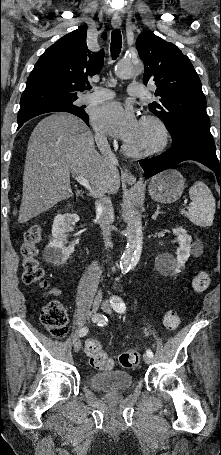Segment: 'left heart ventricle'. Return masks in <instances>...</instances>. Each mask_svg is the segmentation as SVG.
I'll list each match as a JSON object with an SVG mask.
<instances>
[{
	"mask_svg": "<svg viewBox=\"0 0 221 455\" xmlns=\"http://www.w3.org/2000/svg\"><path fill=\"white\" fill-rule=\"evenodd\" d=\"M156 139L154 129L149 125L139 124V128L135 136L128 143L142 147L153 143Z\"/></svg>",
	"mask_w": 221,
	"mask_h": 455,
	"instance_id": "b2bd125f",
	"label": "left heart ventricle"
}]
</instances>
